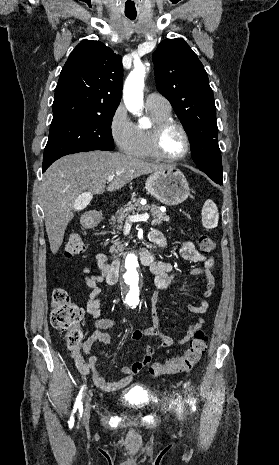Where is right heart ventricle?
<instances>
[{
	"label": "right heart ventricle",
	"instance_id": "obj_1",
	"mask_svg": "<svg viewBox=\"0 0 279 465\" xmlns=\"http://www.w3.org/2000/svg\"><path fill=\"white\" fill-rule=\"evenodd\" d=\"M147 111L152 121V125L158 121L171 118V111H165L157 108L147 107ZM152 127V126H151ZM135 125L134 137L132 144L127 153L136 158L150 159L154 155L150 149V129Z\"/></svg>",
	"mask_w": 279,
	"mask_h": 465
}]
</instances>
